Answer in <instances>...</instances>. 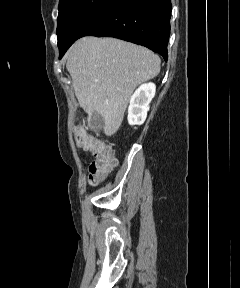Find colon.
Returning a JSON list of instances; mask_svg holds the SVG:
<instances>
[{
	"label": "colon",
	"instance_id": "5ec220e1",
	"mask_svg": "<svg viewBox=\"0 0 240 288\" xmlns=\"http://www.w3.org/2000/svg\"><path fill=\"white\" fill-rule=\"evenodd\" d=\"M74 138L79 147L93 154L94 160L89 167L88 181L91 185L99 184L116 165L111 147L88 134L82 127H75Z\"/></svg>",
	"mask_w": 240,
	"mask_h": 288
}]
</instances>
